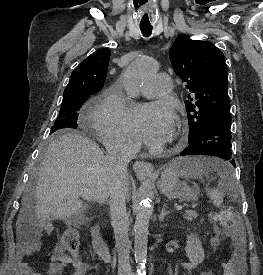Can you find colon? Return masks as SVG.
<instances>
[{
    "label": "colon",
    "instance_id": "colon-1",
    "mask_svg": "<svg viewBox=\"0 0 263 275\" xmlns=\"http://www.w3.org/2000/svg\"><path fill=\"white\" fill-rule=\"evenodd\" d=\"M215 220L228 232L229 236L238 242L239 230L235 219L234 211L230 208L224 209L214 216ZM64 249L71 255L74 263L79 261V233L74 228L64 230L61 237ZM244 266L237 252L234 251L233 258L224 265V275H243ZM202 275H210V272H204Z\"/></svg>",
    "mask_w": 263,
    "mask_h": 275
}]
</instances>
